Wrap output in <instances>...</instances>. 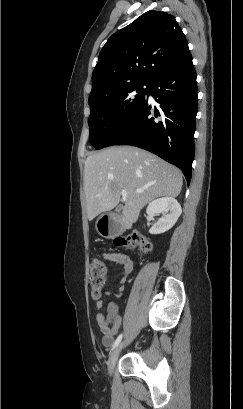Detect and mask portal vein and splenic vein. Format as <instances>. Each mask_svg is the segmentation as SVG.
<instances>
[{
    "label": "portal vein and splenic vein",
    "instance_id": "18ae733b",
    "mask_svg": "<svg viewBox=\"0 0 243 409\" xmlns=\"http://www.w3.org/2000/svg\"><path fill=\"white\" fill-rule=\"evenodd\" d=\"M142 192H143V190H141V189L135 191V193H142ZM127 194L128 193H127L126 190L121 191V195H122L123 198H125L127 196Z\"/></svg>",
    "mask_w": 243,
    "mask_h": 409
}]
</instances>
